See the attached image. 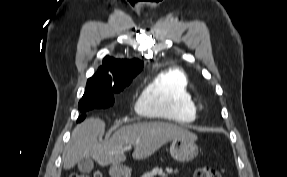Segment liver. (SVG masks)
<instances>
[{
	"mask_svg": "<svg viewBox=\"0 0 287 177\" xmlns=\"http://www.w3.org/2000/svg\"><path fill=\"white\" fill-rule=\"evenodd\" d=\"M105 123L99 118H88L78 124L63 152L64 169L75 166L84 157L93 158L99 165L119 164L126 160L124 147L133 145V159L151 156L167 142L178 138L197 139L187 129L167 122H138L119 128L109 140L99 142Z\"/></svg>",
	"mask_w": 287,
	"mask_h": 177,
	"instance_id": "obj_1",
	"label": "liver"
}]
</instances>
